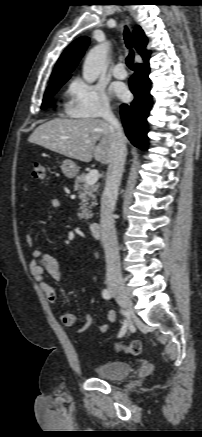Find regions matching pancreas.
Returning <instances> with one entry per match:
<instances>
[{"instance_id": "1", "label": "pancreas", "mask_w": 202, "mask_h": 437, "mask_svg": "<svg viewBox=\"0 0 202 437\" xmlns=\"http://www.w3.org/2000/svg\"><path fill=\"white\" fill-rule=\"evenodd\" d=\"M86 176L87 174H81L76 177L74 191H78L81 199L78 217L88 220L92 217L90 209L97 205L96 194L98 193L99 185H86Z\"/></svg>"}]
</instances>
